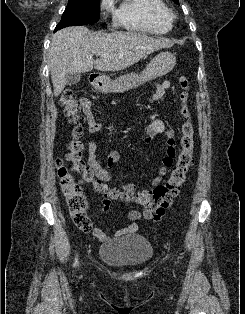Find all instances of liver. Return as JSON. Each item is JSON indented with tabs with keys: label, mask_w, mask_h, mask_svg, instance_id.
Segmentation results:
<instances>
[{
	"label": "liver",
	"mask_w": 245,
	"mask_h": 314,
	"mask_svg": "<svg viewBox=\"0 0 245 314\" xmlns=\"http://www.w3.org/2000/svg\"><path fill=\"white\" fill-rule=\"evenodd\" d=\"M173 41L153 38L136 32H91L84 26L64 28L52 36L48 50V66L54 95L61 94L70 73H85L93 68L100 71H119L130 67L145 56ZM98 52L104 55L97 60Z\"/></svg>",
	"instance_id": "6515ba94"
}]
</instances>
